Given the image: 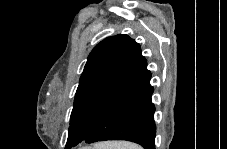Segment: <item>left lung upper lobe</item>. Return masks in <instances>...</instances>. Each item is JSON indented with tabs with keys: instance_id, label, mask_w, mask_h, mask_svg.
<instances>
[{
	"instance_id": "left-lung-upper-lobe-1",
	"label": "left lung upper lobe",
	"mask_w": 227,
	"mask_h": 149,
	"mask_svg": "<svg viewBox=\"0 0 227 149\" xmlns=\"http://www.w3.org/2000/svg\"><path fill=\"white\" fill-rule=\"evenodd\" d=\"M140 45L125 34L108 37L88 56L75 94L67 148L82 143L110 110L131 80Z\"/></svg>"
}]
</instances>
